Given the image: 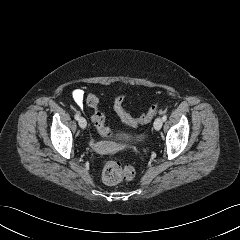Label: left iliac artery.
Wrapping results in <instances>:
<instances>
[{
    "label": "left iliac artery",
    "mask_w": 240,
    "mask_h": 240,
    "mask_svg": "<svg viewBox=\"0 0 240 240\" xmlns=\"http://www.w3.org/2000/svg\"><path fill=\"white\" fill-rule=\"evenodd\" d=\"M162 119H163V121H166V120H167V115H164V116L162 117Z\"/></svg>",
    "instance_id": "obj_1"
}]
</instances>
